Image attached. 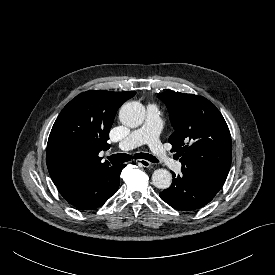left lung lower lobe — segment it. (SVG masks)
Masks as SVG:
<instances>
[{
	"label": "left lung lower lobe",
	"instance_id": "left-lung-lower-lobe-1",
	"mask_svg": "<svg viewBox=\"0 0 275 275\" xmlns=\"http://www.w3.org/2000/svg\"><path fill=\"white\" fill-rule=\"evenodd\" d=\"M181 174H173V182L160 193L163 201L175 209L191 211L210 202L222 188L224 182L214 178L181 169Z\"/></svg>",
	"mask_w": 275,
	"mask_h": 275
}]
</instances>
